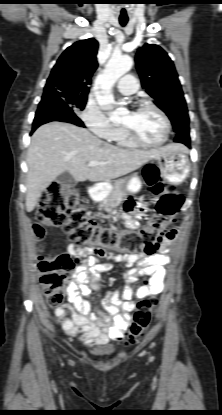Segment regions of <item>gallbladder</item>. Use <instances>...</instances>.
Segmentation results:
<instances>
[{"instance_id": "obj_1", "label": "gallbladder", "mask_w": 222, "mask_h": 415, "mask_svg": "<svg viewBox=\"0 0 222 415\" xmlns=\"http://www.w3.org/2000/svg\"><path fill=\"white\" fill-rule=\"evenodd\" d=\"M57 183L62 186L74 187L77 184V181L72 177L69 172H63L60 174L57 179Z\"/></svg>"}]
</instances>
